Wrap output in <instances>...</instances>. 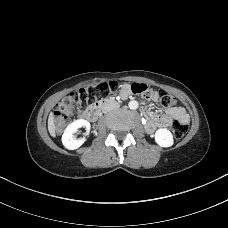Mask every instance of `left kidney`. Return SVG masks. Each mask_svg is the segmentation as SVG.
Here are the masks:
<instances>
[{
    "label": "left kidney",
    "mask_w": 228,
    "mask_h": 228,
    "mask_svg": "<svg viewBox=\"0 0 228 228\" xmlns=\"http://www.w3.org/2000/svg\"><path fill=\"white\" fill-rule=\"evenodd\" d=\"M155 141L161 147H170L173 145V135L166 128H160L155 133Z\"/></svg>",
    "instance_id": "1"
}]
</instances>
